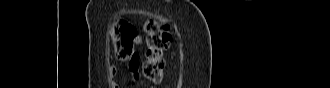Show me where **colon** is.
Wrapping results in <instances>:
<instances>
[{
  "label": "colon",
  "instance_id": "1",
  "mask_svg": "<svg viewBox=\"0 0 330 88\" xmlns=\"http://www.w3.org/2000/svg\"><path fill=\"white\" fill-rule=\"evenodd\" d=\"M144 29L146 32V58L142 64V75L152 83H160L165 75L163 52L170 46L172 39L169 26L156 20H149ZM110 35L118 58L129 61L136 55L133 47L137 31L128 22L117 21L113 25Z\"/></svg>",
  "mask_w": 330,
  "mask_h": 88
}]
</instances>
